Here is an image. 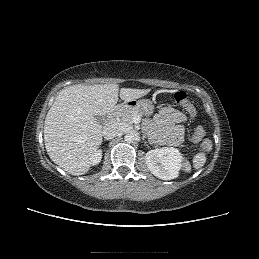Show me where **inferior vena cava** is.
Masks as SVG:
<instances>
[{
    "label": "inferior vena cava",
    "instance_id": "602c4592",
    "mask_svg": "<svg viewBox=\"0 0 259 259\" xmlns=\"http://www.w3.org/2000/svg\"><path fill=\"white\" fill-rule=\"evenodd\" d=\"M120 132L121 128L117 123H109L102 130V134L107 140L116 137Z\"/></svg>",
    "mask_w": 259,
    "mask_h": 259
}]
</instances>
